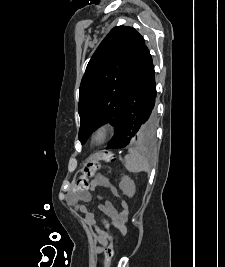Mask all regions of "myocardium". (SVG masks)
<instances>
[{"instance_id":"f54148a6","label":"myocardium","mask_w":225,"mask_h":267,"mask_svg":"<svg viewBox=\"0 0 225 267\" xmlns=\"http://www.w3.org/2000/svg\"><path fill=\"white\" fill-rule=\"evenodd\" d=\"M116 124L111 120L99 122L93 129L90 141L94 146L105 144L115 133Z\"/></svg>"}]
</instances>
